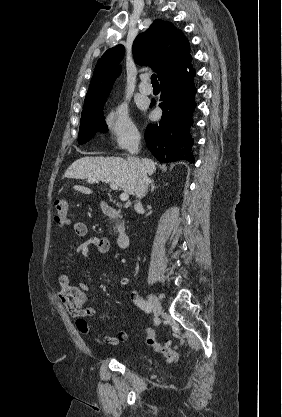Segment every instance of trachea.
Returning <instances> with one entry per match:
<instances>
[{"instance_id": "obj_1", "label": "trachea", "mask_w": 282, "mask_h": 417, "mask_svg": "<svg viewBox=\"0 0 282 417\" xmlns=\"http://www.w3.org/2000/svg\"><path fill=\"white\" fill-rule=\"evenodd\" d=\"M151 83H152V86L159 87V83H158L157 76L155 73L151 76Z\"/></svg>"}]
</instances>
